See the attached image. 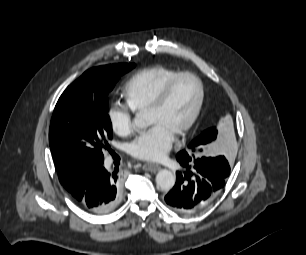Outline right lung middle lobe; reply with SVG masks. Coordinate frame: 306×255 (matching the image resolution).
<instances>
[{
    "mask_svg": "<svg viewBox=\"0 0 306 255\" xmlns=\"http://www.w3.org/2000/svg\"><path fill=\"white\" fill-rule=\"evenodd\" d=\"M134 67L113 64L104 76L82 75L60 96L51 119L49 144L65 188L77 185L89 166L103 164V150L112 139L108 95L120 76Z\"/></svg>",
    "mask_w": 306,
    "mask_h": 255,
    "instance_id": "obj_1",
    "label": "right lung middle lobe"
}]
</instances>
